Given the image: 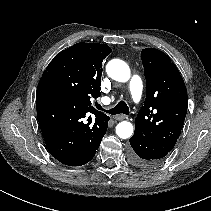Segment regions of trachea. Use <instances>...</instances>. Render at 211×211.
Instances as JSON below:
<instances>
[{
	"label": "trachea",
	"instance_id": "trachea-1",
	"mask_svg": "<svg viewBox=\"0 0 211 211\" xmlns=\"http://www.w3.org/2000/svg\"><path fill=\"white\" fill-rule=\"evenodd\" d=\"M96 108L98 110L104 111L106 113L112 114V115H116V114H120L123 113L125 115L129 114V108L127 106V104L124 101H120L114 108L111 109H104L100 104L96 103Z\"/></svg>",
	"mask_w": 211,
	"mask_h": 211
}]
</instances>
